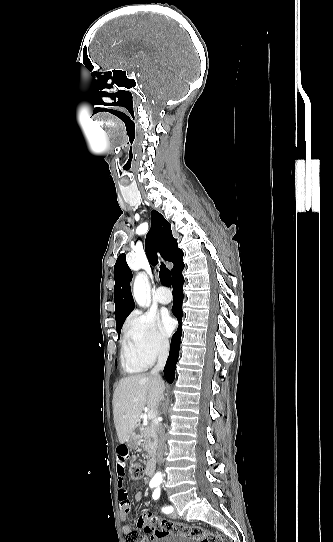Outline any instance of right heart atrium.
<instances>
[{"label": "right heart atrium", "instance_id": "1", "mask_svg": "<svg viewBox=\"0 0 333 542\" xmlns=\"http://www.w3.org/2000/svg\"><path fill=\"white\" fill-rule=\"evenodd\" d=\"M124 339L138 347L152 358L165 356L170 348V337L157 318L135 313L126 323Z\"/></svg>", "mask_w": 333, "mask_h": 542}]
</instances>
